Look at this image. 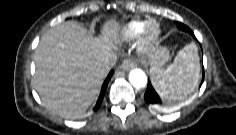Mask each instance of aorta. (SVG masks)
<instances>
[{
    "label": "aorta",
    "mask_w": 236,
    "mask_h": 135,
    "mask_svg": "<svg viewBox=\"0 0 236 135\" xmlns=\"http://www.w3.org/2000/svg\"><path fill=\"white\" fill-rule=\"evenodd\" d=\"M129 81L135 88L144 87L147 84V76L141 69H133L129 73Z\"/></svg>",
    "instance_id": "1"
}]
</instances>
